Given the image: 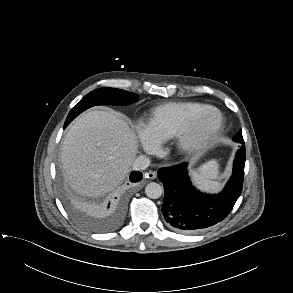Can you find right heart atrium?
<instances>
[{"instance_id":"right-heart-atrium-1","label":"right heart atrium","mask_w":293,"mask_h":293,"mask_svg":"<svg viewBox=\"0 0 293 293\" xmlns=\"http://www.w3.org/2000/svg\"><path fill=\"white\" fill-rule=\"evenodd\" d=\"M135 143L144 152L153 154L159 146V141L150 133L146 124L138 121L133 127Z\"/></svg>"}]
</instances>
